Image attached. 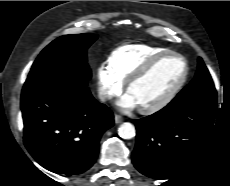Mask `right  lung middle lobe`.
I'll use <instances>...</instances> for the list:
<instances>
[{"instance_id": "1", "label": "right lung middle lobe", "mask_w": 230, "mask_h": 186, "mask_svg": "<svg viewBox=\"0 0 230 186\" xmlns=\"http://www.w3.org/2000/svg\"><path fill=\"white\" fill-rule=\"evenodd\" d=\"M97 39L94 34L64 35L51 42L37 57L28 78L63 70L88 80L91 71L86 63V50Z\"/></svg>"}]
</instances>
